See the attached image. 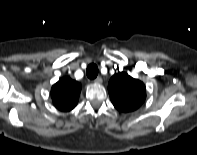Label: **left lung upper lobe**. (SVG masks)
Here are the masks:
<instances>
[{"label":"left lung upper lobe","mask_w":197,"mask_h":155,"mask_svg":"<svg viewBox=\"0 0 197 155\" xmlns=\"http://www.w3.org/2000/svg\"><path fill=\"white\" fill-rule=\"evenodd\" d=\"M108 92L115 108L122 112L136 110L146 98L144 83L126 72L113 75L108 84Z\"/></svg>","instance_id":"left-lung-upper-lobe-1"}]
</instances>
